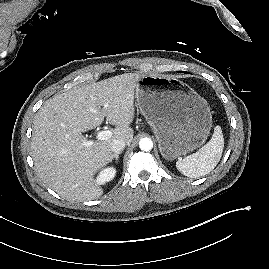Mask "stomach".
I'll list each match as a JSON object with an SVG mask.
<instances>
[{
    "label": "stomach",
    "mask_w": 269,
    "mask_h": 269,
    "mask_svg": "<svg viewBox=\"0 0 269 269\" xmlns=\"http://www.w3.org/2000/svg\"><path fill=\"white\" fill-rule=\"evenodd\" d=\"M135 97L165 159L186 155L209 135L212 115L207 102L180 80L144 75L137 82Z\"/></svg>",
    "instance_id": "obj_1"
}]
</instances>
